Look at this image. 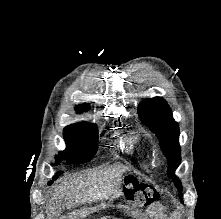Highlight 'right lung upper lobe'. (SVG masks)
Masks as SVG:
<instances>
[{
  "mask_svg": "<svg viewBox=\"0 0 221 219\" xmlns=\"http://www.w3.org/2000/svg\"><path fill=\"white\" fill-rule=\"evenodd\" d=\"M89 108H90L89 104H83V105H79V107L77 108V111L78 112L87 111L89 110Z\"/></svg>",
  "mask_w": 221,
  "mask_h": 219,
  "instance_id": "1",
  "label": "right lung upper lobe"
}]
</instances>
